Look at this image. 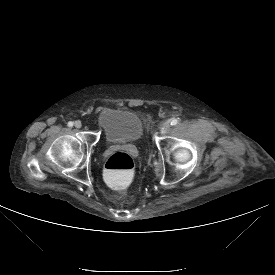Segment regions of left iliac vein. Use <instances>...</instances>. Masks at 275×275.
Instances as JSON below:
<instances>
[{
	"label": "left iliac vein",
	"mask_w": 275,
	"mask_h": 275,
	"mask_svg": "<svg viewBox=\"0 0 275 275\" xmlns=\"http://www.w3.org/2000/svg\"><path fill=\"white\" fill-rule=\"evenodd\" d=\"M169 130H170V123H169V122H163V123L160 125V132H161L162 134L168 133Z\"/></svg>",
	"instance_id": "obj_1"
}]
</instances>
